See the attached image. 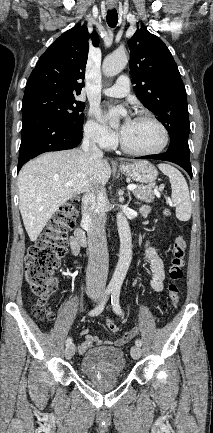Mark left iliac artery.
<instances>
[{"instance_id": "obj_1", "label": "left iliac artery", "mask_w": 213, "mask_h": 433, "mask_svg": "<svg viewBox=\"0 0 213 433\" xmlns=\"http://www.w3.org/2000/svg\"><path fill=\"white\" fill-rule=\"evenodd\" d=\"M119 297H120V287L116 286L112 290L111 304H112L114 312L117 315H122V310H121L120 303H119ZM135 344L140 347L142 345V342L140 339H137Z\"/></svg>"}]
</instances>
